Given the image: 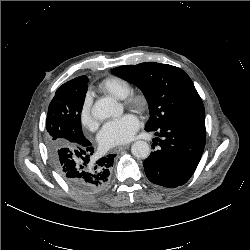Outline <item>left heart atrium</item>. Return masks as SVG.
Wrapping results in <instances>:
<instances>
[{
    "label": "left heart atrium",
    "mask_w": 250,
    "mask_h": 250,
    "mask_svg": "<svg viewBox=\"0 0 250 250\" xmlns=\"http://www.w3.org/2000/svg\"><path fill=\"white\" fill-rule=\"evenodd\" d=\"M138 128V118L132 113H126L104 124L98 134V142L104 149L127 143Z\"/></svg>",
    "instance_id": "1"
}]
</instances>
